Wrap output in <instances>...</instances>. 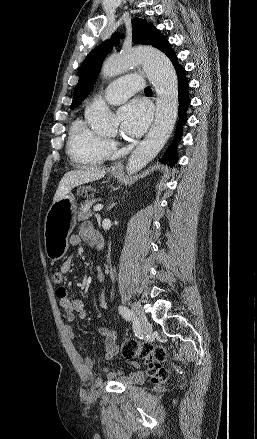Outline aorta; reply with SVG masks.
<instances>
[{"mask_svg":"<svg viewBox=\"0 0 257 439\" xmlns=\"http://www.w3.org/2000/svg\"><path fill=\"white\" fill-rule=\"evenodd\" d=\"M141 64L157 94L154 124L146 138L131 154L126 170L134 174L149 163L166 144L178 115V81L174 66L158 49L139 47L108 58L102 67L104 79L115 77ZM91 128L100 134L116 130V120L102 100H95L85 111Z\"/></svg>","mask_w":257,"mask_h":439,"instance_id":"obj_1","label":"aorta"}]
</instances>
